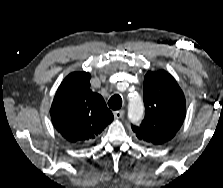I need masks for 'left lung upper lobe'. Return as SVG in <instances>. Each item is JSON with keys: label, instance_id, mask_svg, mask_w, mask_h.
<instances>
[{"label": "left lung upper lobe", "instance_id": "5c2ea615", "mask_svg": "<svg viewBox=\"0 0 223 188\" xmlns=\"http://www.w3.org/2000/svg\"><path fill=\"white\" fill-rule=\"evenodd\" d=\"M145 118L140 126L132 125L139 140L161 145L180 129L185 115L184 94L176 80L166 71H148L144 77Z\"/></svg>", "mask_w": 223, "mask_h": 188}]
</instances>
